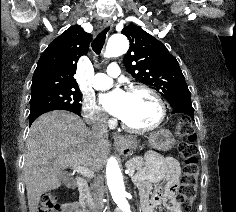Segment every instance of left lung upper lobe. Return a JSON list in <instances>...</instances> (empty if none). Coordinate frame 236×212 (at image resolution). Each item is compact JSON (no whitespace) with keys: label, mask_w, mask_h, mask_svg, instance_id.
<instances>
[{"label":"left lung upper lobe","mask_w":236,"mask_h":212,"mask_svg":"<svg viewBox=\"0 0 236 212\" xmlns=\"http://www.w3.org/2000/svg\"><path fill=\"white\" fill-rule=\"evenodd\" d=\"M122 33L130 41L124 64L134 78L150 85L169 103L175 98L190 96L178 61L162 42L136 25L125 27Z\"/></svg>","instance_id":"obj_1"}]
</instances>
